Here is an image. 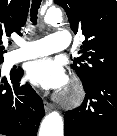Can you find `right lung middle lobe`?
Returning a JSON list of instances; mask_svg holds the SVG:
<instances>
[{
    "label": "right lung middle lobe",
    "instance_id": "dd1d6c3e",
    "mask_svg": "<svg viewBox=\"0 0 117 136\" xmlns=\"http://www.w3.org/2000/svg\"><path fill=\"white\" fill-rule=\"evenodd\" d=\"M3 62V59H0V64ZM1 72V71H0Z\"/></svg>",
    "mask_w": 117,
    "mask_h": 136
}]
</instances>
